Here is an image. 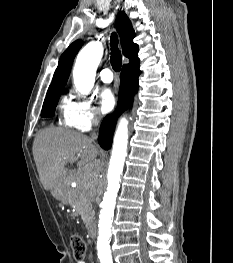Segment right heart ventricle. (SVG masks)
<instances>
[{"mask_svg":"<svg viewBox=\"0 0 233 263\" xmlns=\"http://www.w3.org/2000/svg\"><path fill=\"white\" fill-rule=\"evenodd\" d=\"M72 109H73V102H71L67 98H63L59 106L61 122L69 127H70V115Z\"/></svg>","mask_w":233,"mask_h":263,"instance_id":"right-heart-ventricle-1","label":"right heart ventricle"}]
</instances>
